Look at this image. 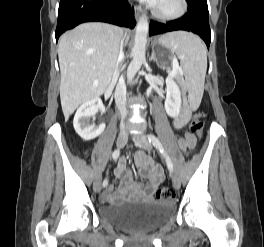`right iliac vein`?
<instances>
[{
	"mask_svg": "<svg viewBox=\"0 0 264 247\" xmlns=\"http://www.w3.org/2000/svg\"><path fill=\"white\" fill-rule=\"evenodd\" d=\"M128 140V134L126 131H122L119 133L117 138V147L123 148ZM94 190L95 192H100L101 190V179L98 177L94 182Z\"/></svg>",
	"mask_w": 264,
	"mask_h": 247,
	"instance_id": "obj_1",
	"label": "right iliac vein"
}]
</instances>
